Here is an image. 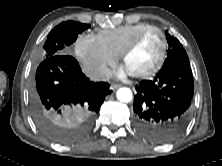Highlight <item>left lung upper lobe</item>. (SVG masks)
<instances>
[{
    "mask_svg": "<svg viewBox=\"0 0 222 166\" xmlns=\"http://www.w3.org/2000/svg\"><path fill=\"white\" fill-rule=\"evenodd\" d=\"M166 37L169 44L168 57L166 58L162 69L173 65H190L188 56L180 42L166 31Z\"/></svg>",
    "mask_w": 222,
    "mask_h": 166,
    "instance_id": "5c2ea615",
    "label": "left lung upper lobe"
}]
</instances>
